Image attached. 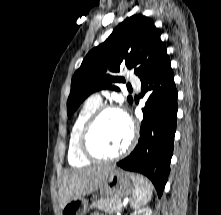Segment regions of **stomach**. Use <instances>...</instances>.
<instances>
[{
  "instance_id": "1",
  "label": "stomach",
  "mask_w": 221,
  "mask_h": 215,
  "mask_svg": "<svg viewBox=\"0 0 221 215\" xmlns=\"http://www.w3.org/2000/svg\"><path fill=\"white\" fill-rule=\"evenodd\" d=\"M137 175L112 170L106 176L99 188L101 200L104 197H126L132 193L135 187ZM88 210V202L83 197L74 198L69 201L61 210V215H85Z\"/></svg>"
}]
</instances>
